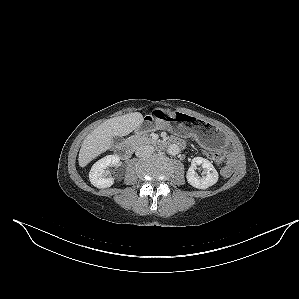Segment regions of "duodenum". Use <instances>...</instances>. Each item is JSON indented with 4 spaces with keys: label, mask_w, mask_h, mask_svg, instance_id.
Here are the masks:
<instances>
[{
    "label": "duodenum",
    "mask_w": 299,
    "mask_h": 299,
    "mask_svg": "<svg viewBox=\"0 0 299 299\" xmlns=\"http://www.w3.org/2000/svg\"><path fill=\"white\" fill-rule=\"evenodd\" d=\"M174 144L181 146V143L177 140L174 141ZM167 146V142L160 141L156 144V147L162 149ZM116 153L122 157L127 158L132 153V145L130 143H122L116 148Z\"/></svg>",
    "instance_id": "410a0bca"
}]
</instances>
